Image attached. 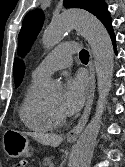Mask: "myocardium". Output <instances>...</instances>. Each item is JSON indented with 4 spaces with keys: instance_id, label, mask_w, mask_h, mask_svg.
<instances>
[{
    "instance_id": "myocardium-1",
    "label": "myocardium",
    "mask_w": 125,
    "mask_h": 167,
    "mask_svg": "<svg viewBox=\"0 0 125 167\" xmlns=\"http://www.w3.org/2000/svg\"><path fill=\"white\" fill-rule=\"evenodd\" d=\"M45 106H46V110L50 116V118L52 119L53 123L55 124V126H61L63 124H65L66 122V117L65 115H63V113H60L56 110H54L47 101H45Z\"/></svg>"
}]
</instances>
